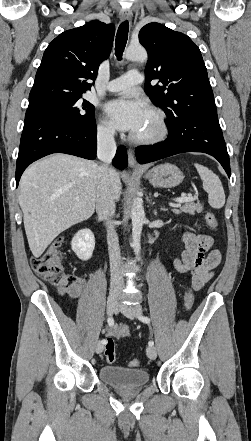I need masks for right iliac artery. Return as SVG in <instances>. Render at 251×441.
Returning a JSON list of instances; mask_svg holds the SVG:
<instances>
[{"label":"right iliac artery","instance_id":"right-iliac-artery-1","mask_svg":"<svg viewBox=\"0 0 251 441\" xmlns=\"http://www.w3.org/2000/svg\"><path fill=\"white\" fill-rule=\"evenodd\" d=\"M107 323H108V325L110 326V327H112L113 325H114V319H113V317H109L108 318V320H107ZM103 344H105L106 343V340L105 339H102V341H101Z\"/></svg>","mask_w":251,"mask_h":441}]
</instances>
